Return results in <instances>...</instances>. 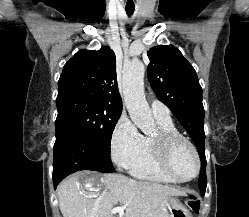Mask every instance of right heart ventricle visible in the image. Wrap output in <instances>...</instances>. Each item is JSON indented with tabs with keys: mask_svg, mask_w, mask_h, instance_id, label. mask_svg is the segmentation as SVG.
<instances>
[{
	"mask_svg": "<svg viewBox=\"0 0 249 217\" xmlns=\"http://www.w3.org/2000/svg\"><path fill=\"white\" fill-rule=\"evenodd\" d=\"M160 131L178 133L172 120L156 119ZM130 173L140 179L159 182V183H177L162 169L158 157L153 147L152 137H143V143L140 152L129 166Z\"/></svg>",
	"mask_w": 249,
	"mask_h": 217,
	"instance_id": "e07e8e85",
	"label": "right heart ventricle"
}]
</instances>
